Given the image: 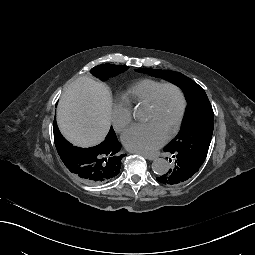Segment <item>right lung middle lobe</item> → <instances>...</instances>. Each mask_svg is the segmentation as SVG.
I'll return each instance as SVG.
<instances>
[{
    "label": "right lung middle lobe",
    "instance_id": "1",
    "mask_svg": "<svg viewBox=\"0 0 255 255\" xmlns=\"http://www.w3.org/2000/svg\"><path fill=\"white\" fill-rule=\"evenodd\" d=\"M128 68L129 67L125 65L104 64L92 68L91 74L100 80L105 81L110 77H114L126 71Z\"/></svg>",
    "mask_w": 255,
    "mask_h": 255
}]
</instances>
